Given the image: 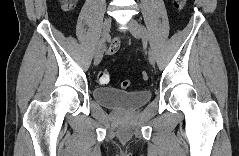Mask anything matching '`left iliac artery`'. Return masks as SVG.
Wrapping results in <instances>:
<instances>
[{
	"mask_svg": "<svg viewBox=\"0 0 239 156\" xmlns=\"http://www.w3.org/2000/svg\"><path fill=\"white\" fill-rule=\"evenodd\" d=\"M142 31H143L144 35L146 36V29L143 26H142Z\"/></svg>",
	"mask_w": 239,
	"mask_h": 156,
	"instance_id": "1",
	"label": "left iliac artery"
}]
</instances>
